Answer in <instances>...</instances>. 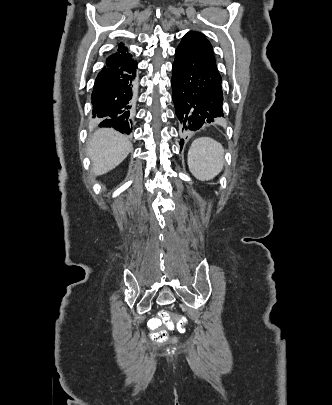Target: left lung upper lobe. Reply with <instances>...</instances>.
<instances>
[{
	"mask_svg": "<svg viewBox=\"0 0 332 405\" xmlns=\"http://www.w3.org/2000/svg\"><path fill=\"white\" fill-rule=\"evenodd\" d=\"M180 45L190 48L216 65L212 45L203 34L190 31L182 38Z\"/></svg>",
	"mask_w": 332,
	"mask_h": 405,
	"instance_id": "5c2ea615",
	"label": "left lung upper lobe"
}]
</instances>
